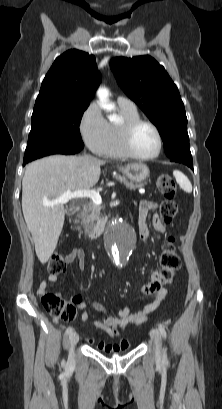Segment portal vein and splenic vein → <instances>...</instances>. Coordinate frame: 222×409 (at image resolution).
I'll return each mask as SVG.
<instances>
[{"mask_svg": "<svg viewBox=\"0 0 222 409\" xmlns=\"http://www.w3.org/2000/svg\"><path fill=\"white\" fill-rule=\"evenodd\" d=\"M140 193H144V190H140ZM74 198H90L93 201V203H95L96 205H100L102 203L100 194L94 190H75V191L69 190L63 193L57 199L52 200V201H46L44 202V204L46 206L65 204L69 200L74 199Z\"/></svg>", "mask_w": 222, "mask_h": 409, "instance_id": "1", "label": "portal vein and splenic vein"}]
</instances>
